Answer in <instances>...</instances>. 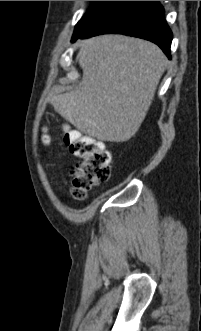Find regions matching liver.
I'll use <instances>...</instances> for the list:
<instances>
[{
    "label": "liver",
    "mask_w": 201,
    "mask_h": 331,
    "mask_svg": "<svg viewBox=\"0 0 201 331\" xmlns=\"http://www.w3.org/2000/svg\"><path fill=\"white\" fill-rule=\"evenodd\" d=\"M79 85L50 97L55 111L82 133L125 142L139 130L150 108L167 58L154 43L123 35L80 42Z\"/></svg>",
    "instance_id": "liver-1"
}]
</instances>
